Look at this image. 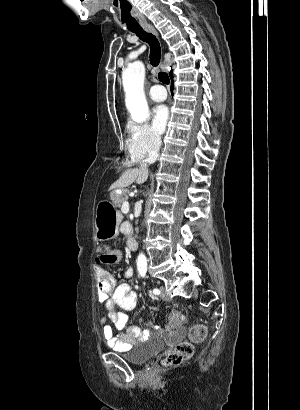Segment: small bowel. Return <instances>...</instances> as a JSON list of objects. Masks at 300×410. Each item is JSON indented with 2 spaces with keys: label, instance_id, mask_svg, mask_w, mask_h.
<instances>
[{
  "label": "small bowel",
  "instance_id": "obj_1",
  "mask_svg": "<svg viewBox=\"0 0 300 410\" xmlns=\"http://www.w3.org/2000/svg\"><path fill=\"white\" fill-rule=\"evenodd\" d=\"M97 296L106 308V316L101 318L102 335L107 345L116 350H123L149 336L150 329L143 330L138 326H127V312L134 309L136 294L128 282L117 283L116 279L106 270L97 267ZM125 278L130 277V270L124 272ZM110 320L113 325H110ZM173 327L172 329H176Z\"/></svg>",
  "mask_w": 300,
  "mask_h": 410
}]
</instances>
